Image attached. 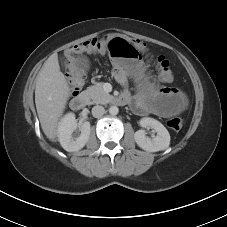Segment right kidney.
Listing matches in <instances>:
<instances>
[{
    "instance_id": "1",
    "label": "right kidney",
    "mask_w": 227,
    "mask_h": 227,
    "mask_svg": "<svg viewBox=\"0 0 227 227\" xmlns=\"http://www.w3.org/2000/svg\"><path fill=\"white\" fill-rule=\"evenodd\" d=\"M77 128V121L74 113L66 114L58 126V138L61 146L68 152H74L82 149L89 140L91 131L90 123L84 122L81 127V134L79 137L74 138L73 132Z\"/></svg>"
}]
</instances>
